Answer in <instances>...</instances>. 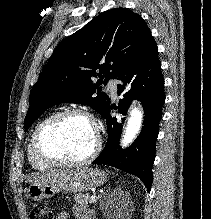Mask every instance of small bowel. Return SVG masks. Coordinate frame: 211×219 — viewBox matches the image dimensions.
<instances>
[{"mask_svg":"<svg viewBox=\"0 0 211 219\" xmlns=\"http://www.w3.org/2000/svg\"><path fill=\"white\" fill-rule=\"evenodd\" d=\"M74 216L76 219H92L91 214L81 208H75L74 209ZM57 219H68L67 213H61Z\"/></svg>","mask_w":211,"mask_h":219,"instance_id":"small-bowel-1","label":"small bowel"}]
</instances>
